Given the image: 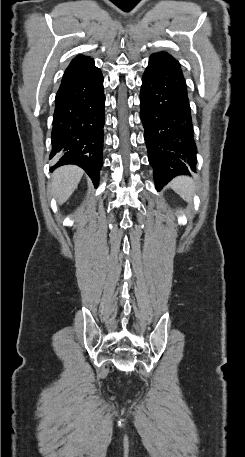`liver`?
<instances>
[{"mask_svg": "<svg viewBox=\"0 0 245 457\" xmlns=\"http://www.w3.org/2000/svg\"><path fill=\"white\" fill-rule=\"evenodd\" d=\"M84 170L76 164H65L54 170L52 176V194L56 196L59 204H63L70 194L77 188Z\"/></svg>", "mask_w": 245, "mask_h": 457, "instance_id": "1", "label": "liver"}]
</instances>
